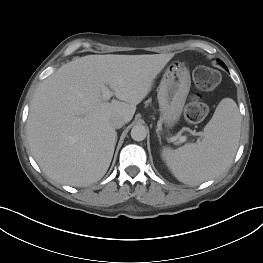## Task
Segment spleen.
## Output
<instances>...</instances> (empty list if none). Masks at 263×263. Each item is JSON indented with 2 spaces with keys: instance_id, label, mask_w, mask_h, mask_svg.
<instances>
[{
  "instance_id": "obj_1",
  "label": "spleen",
  "mask_w": 263,
  "mask_h": 263,
  "mask_svg": "<svg viewBox=\"0 0 263 263\" xmlns=\"http://www.w3.org/2000/svg\"><path fill=\"white\" fill-rule=\"evenodd\" d=\"M240 129L235 101L224 98L205 126L202 141L185 144L176 150L164 147L162 159L180 182L197 185L229 166L238 148Z\"/></svg>"
}]
</instances>
